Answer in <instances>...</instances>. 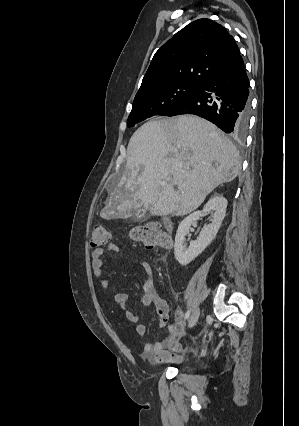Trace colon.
Segmentation results:
<instances>
[{"mask_svg":"<svg viewBox=\"0 0 299 426\" xmlns=\"http://www.w3.org/2000/svg\"><path fill=\"white\" fill-rule=\"evenodd\" d=\"M130 237L148 248H168L171 245L169 235L156 222L135 227ZM109 232L102 224H96L91 230L90 245L92 248H106L109 245Z\"/></svg>","mask_w":299,"mask_h":426,"instance_id":"1","label":"colon"}]
</instances>
